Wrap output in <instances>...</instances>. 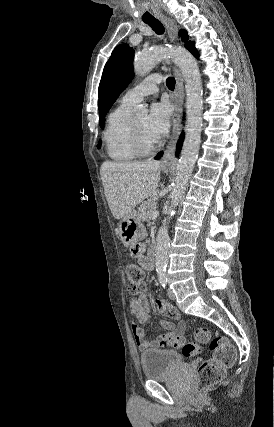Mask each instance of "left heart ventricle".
Instances as JSON below:
<instances>
[{
    "mask_svg": "<svg viewBox=\"0 0 274 427\" xmlns=\"http://www.w3.org/2000/svg\"><path fill=\"white\" fill-rule=\"evenodd\" d=\"M148 117L147 115L141 116L135 121V124L139 130L142 140L146 145H154L158 142L157 139L153 138L147 130Z\"/></svg>",
    "mask_w": 274,
    "mask_h": 427,
    "instance_id": "left-heart-ventricle-1",
    "label": "left heart ventricle"
}]
</instances>
